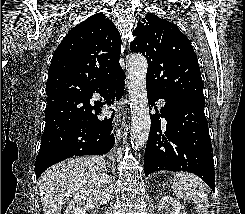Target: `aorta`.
Returning a JSON list of instances; mask_svg holds the SVG:
<instances>
[{"mask_svg": "<svg viewBox=\"0 0 245 214\" xmlns=\"http://www.w3.org/2000/svg\"><path fill=\"white\" fill-rule=\"evenodd\" d=\"M147 60L141 54H133L128 63L129 100L131 108V146L142 148L149 136L151 120L146 90Z\"/></svg>", "mask_w": 245, "mask_h": 214, "instance_id": "1", "label": "aorta"}]
</instances>
